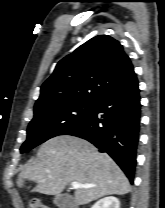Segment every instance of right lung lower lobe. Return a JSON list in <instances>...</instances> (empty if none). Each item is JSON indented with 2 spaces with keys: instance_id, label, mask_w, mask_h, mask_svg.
<instances>
[{
  "instance_id": "98d812e1",
  "label": "right lung lower lobe",
  "mask_w": 165,
  "mask_h": 208,
  "mask_svg": "<svg viewBox=\"0 0 165 208\" xmlns=\"http://www.w3.org/2000/svg\"><path fill=\"white\" fill-rule=\"evenodd\" d=\"M134 74L126 83L107 92L90 116L67 135L88 140L108 153L133 183L139 140L141 104Z\"/></svg>"
}]
</instances>
